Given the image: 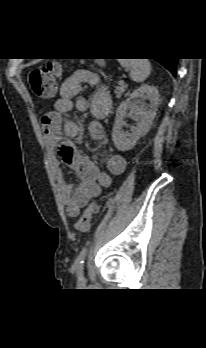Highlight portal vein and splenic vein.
<instances>
[{"instance_id":"portal-vein-and-splenic-vein-1","label":"portal vein and splenic vein","mask_w":206,"mask_h":348,"mask_svg":"<svg viewBox=\"0 0 206 348\" xmlns=\"http://www.w3.org/2000/svg\"><path fill=\"white\" fill-rule=\"evenodd\" d=\"M119 83H120V84H123V83H124V81H123V80H120V81H119Z\"/></svg>"}]
</instances>
